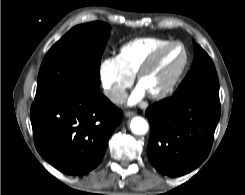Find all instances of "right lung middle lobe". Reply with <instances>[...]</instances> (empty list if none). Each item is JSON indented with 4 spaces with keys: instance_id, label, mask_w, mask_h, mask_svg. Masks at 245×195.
Masks as SVG:
<instances>
[{
    "instance_id": "dd1d6c3e",
    "label": "right lung middle lobe",
    "mask_w": 245,
    "mask_h": 195,
    "mask_svg": "<svg viewBox=\"0 0 245 195\" xmlns=\"http://www.w3.org/2000/svg\"><path fill=\"white\" fill-rule=\"evenodd\" d=\"M110 25L91 22L72 28L48 51L38 74L35 101L100 87V60Z\"/></svg>"
}]
</instances>
